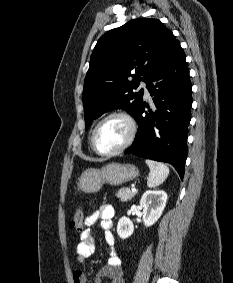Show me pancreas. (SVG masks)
<instances>
[{
    "label": "pancreas",
    "instance_id": "pancreas-1",
    "mask_svg": "<svg viewBox=\"0 0 233 283\" xmlns=\"http://www.w3.org/2000/svg\"><path fill=\"white\" fill-rule=\"evenodd\" d=\"M136 195V192H132L130 188H122L116 192V196L120 198L122 202L131 200Z\"/></svg>",
    "mask_w": 233,
    "mask_h": 283
}]
</instances>
